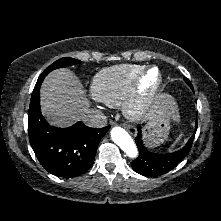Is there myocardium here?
I'll return each mask as SVG.
<instances>
[{"mask_svg": "<svg viewBox=\"0 0 221 221\" xmlns=\"http://www.w3.org/2000/svg\"><path fill=\"white\" fill-rule=\"evenodd\" d=\"M152 71L157 74L156 82L150 89L145 90L142 83ZM162 84L163 75L158 67L148 66L143 68L134 78L130 91L122 103L124 115L131 121L143 120L160 93Z\"/></svg>", "mask_w": 221, "mask_h": 221, "instance_id": "myocardium-1", "label": "myocardium"}]
</instances>
